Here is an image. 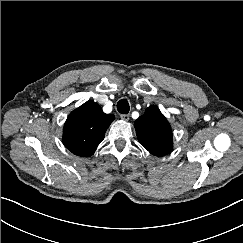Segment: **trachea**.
<instances>
[{
    "mask_svg": "<svg viewBox=\"0 0 243 243\" xmlns=\"http://www.w3.org/2000/svg\"><path fill=\"white\" fill-rule=\"evenodd\" d=\"M117 110L121 114H127L130 110L129 103L126 99H122L117 103Z\"/></svg>",
    "mask_w": 243,
    "mask_h": 243,
    "instance_id": "trachea-1",
    "label": "trachea"
}]
</instances>
